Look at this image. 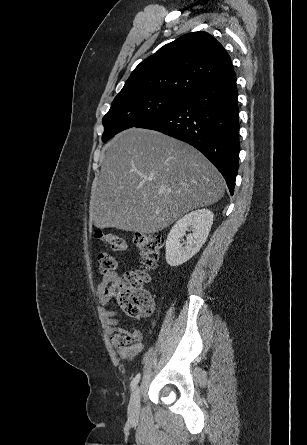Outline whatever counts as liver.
<instances>
[{
    "label": "liver",
    "instance_id": "1",
    "mask_svg": "<svg viewBox=\"0 0 307 445\" xmlns=\"http://www.w3.org/2000/svg\"><path fill=\"white\" fill-rule=\"evenodd\" d=\"M102 154L89 206L97 229L158 233L225 192L222 174L202 152L157 130H122Z\"/></svg>",
    "mask_w": 307,
    "mask_h": 445
}]
</instances>
